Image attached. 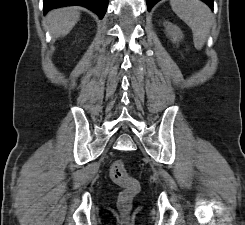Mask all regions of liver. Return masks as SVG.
<instances>
[{
  "instance_id": "obj_1",
  "label": "liver",
  "mask_w": 245,
  "mask_h": 225,
  "mask_svg": "<svg viewBox=\"0 0 245 225\" xmlns=\"http://www.w3.org/2000/svg\"><path fill=\"white\" fill-rule=\"evenodd\" d=\"M80 18V13L74 7H65L50 11L46 20L52 35L56 37L66 36Z\"/></svg>"
}]
</instances>
